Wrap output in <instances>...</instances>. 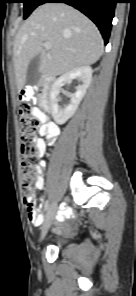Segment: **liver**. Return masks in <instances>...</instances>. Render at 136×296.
Instances as JSON below:
<instances>
[{
  "mask_svg": "<svg viewBox=\"0 0 136 296\" xmlns=\"http://www.w3.org/2000/svg\"><path fill=\"white\" fill-rule=\"evenodd\" d=\"M49 42L51 49L43 44ZM103 39L95 24L64 3L37 7L18 31L13 48L16 85L26 84L30 61L40 55V74L54 78L75 68L94 64L103 53Z\"/></svg>",
  "mask_w": 136,
  "mask_h": 296,
  "instance_id": "6515ba94",
  "label": "liver"
}]
</instances>
